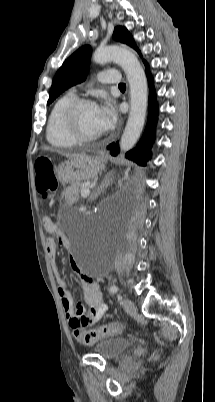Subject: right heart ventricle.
I'll return each mask as SVG.
<instances>
[{"label": "right heart ventricle", "instance_id": "obj_1", "mask_svg": "<svg viewBox=\"0 0 215 402\" xmlns=\"http://www.w3.org/2000/svg\"><path fill=\"white\" fill-rule=\"evenodd\" d=\"M72 91L60 96L53 104L46 126V138L50 145L56 148H71L77 144L66 132L63 124V115L68 104L76 99Z\"/></svg>", "mask_w": 215, "mask_h": 402}]
</instances>
